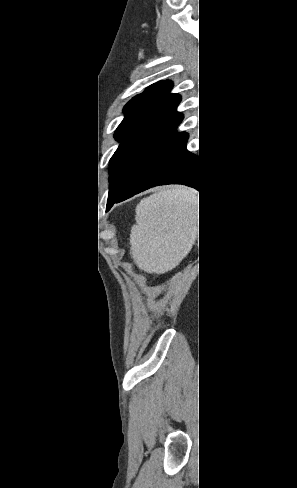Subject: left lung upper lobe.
I'll list each match as a JSON object with an SVG mask.
<instances>
[{
    "label": "left lung upper lobe",
    "mask_w": 297,
    "mask_h": 488,
    "mask_svg": "<svg viewBox=\"0 0 297 488\" xmlns=\"http://www.w3.org/2000/svg\"><path fill=\"white\" fill-rule=\"evenodd\" d=\"M172 86L169 80L152 84L124 107L126 116L114 134L121 144L110 159L107 205L178 134L183 114L176 108L181 97L169 93Z\"/></svg>",
    "instance_id": "left-lung-upper-lobe-1"
}]
</instances>
